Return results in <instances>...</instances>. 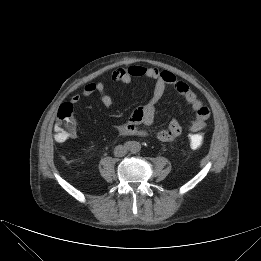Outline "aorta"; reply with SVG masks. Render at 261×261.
Wrapping results in <instances>:
<instances>
[{
    "mask_svg": "<svg viewBox=\"0 0 261 261\" xmlns=\"http://www.w3.org/2000/svg\"><path fill=\"white\" fill-rule=\"evenodd\" d=\"M129 149H130L132 152L136 153V152H139V151H140L141 145H140V143L137 142V141H131V142L129 143Z\"/></svg>",
    "mask_w": 261,
    "mask_h": 261,
    "instance_id": "1",
    "label": "aorta"
}]
</instances>
